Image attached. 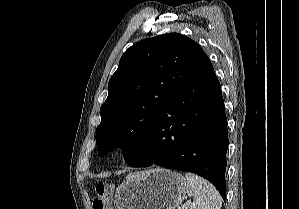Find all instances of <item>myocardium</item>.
Masks as SVG:
<instances>
[{
    "label": "myocardium",
    "mask_w": 299,
    "mask_h": 209,
    "mask_svg": "<svg viewBox=\"0 0 299 209\" xmlns=\"http://www.w3.org/2000/svg\"><path fill=\"white\" fill-rule=\"evenodd\" d=\"M128 146L122 142L112 144L107 151V160L111 164H118L124 160L128 154Z\"/></svg>",
    "instance_id": "1"
}]
</instances>
